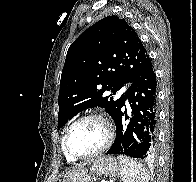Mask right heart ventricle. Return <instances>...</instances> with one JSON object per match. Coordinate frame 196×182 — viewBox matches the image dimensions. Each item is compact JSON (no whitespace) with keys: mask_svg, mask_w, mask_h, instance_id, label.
<instances>
[{"mask_svg":"<svg viewBox=\"0 0 196 182\" xmlns=\"http://www.w3.org/2000/svg\"><path fill=\"white\" fill-rule=\"evenodd\" d=\"M64 153H65V152H64ZM65 156H66V158H67L68 161H70V162H74V161H75L74 159L70 158V157L67 156L66 154H65Z\"/></svg>","mask_w":196,"mask_h":182,"instance_id":"e07e8e85","label":"right heart ventricle"}]
</instances>
